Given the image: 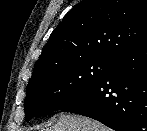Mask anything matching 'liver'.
<instances>
[{"mask_svg":"<svg viewBox=\"0 0 147 131\" xmlns=\"http://www.w3.org/2000/svg\"><path fill=\"white\" fill-rule=\"evenodd\" d=\"M46 131H109L103 124L90 118L60 114L57 123Z\"/></svg>","mask_w":147,"mask_h":131,"instance_id":"6515ba94","label":"liver"}]
</instances>
